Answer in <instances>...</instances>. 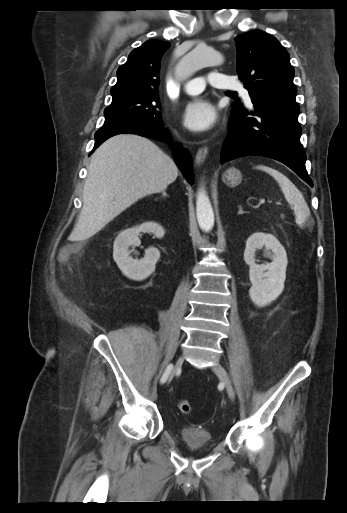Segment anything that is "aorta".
<instances>
[{"instance_id":"1","label":"aorta","mask_w":347,"mask_h":513,"mask_svg":"<svg viewBox=\"0 0 347 513\" xmlns=\"http://www.w3.org/2000/svg\"><path fill=\"white\" fill-rule=\"evenodd\" d=\"M223 62L224 59L220 53L209 49L204 44H199L179 61L176 75L179 79L185 80L204 67L222 65ZM196 213L201 229L210 231L214 226V212L204 186H201L197 193Z\"/></svg>"}]
</instances>
